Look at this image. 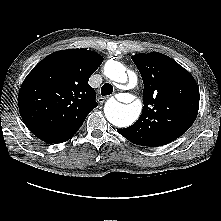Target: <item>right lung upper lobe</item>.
<instances>
[{
    "mask_svg": "<svg viewBox=\"0 0 221 221\" xmlns=\"http://www.w3.org/2000/svg\"><path fill=\"white\" fill-rule=\"evenodd\" d=\"M103 57L86 49L62 50L40 61L19 93L20 115L31 132L46 143L69 140L98 104L88 84Z\"/></svg>",
    "mask_w": 221,
    "mask_h": 221,
    "instance_id": "cb5924a9",
    "label": "right lung upper lobe"
}]
</instances>
